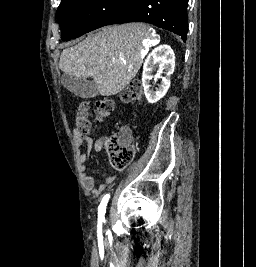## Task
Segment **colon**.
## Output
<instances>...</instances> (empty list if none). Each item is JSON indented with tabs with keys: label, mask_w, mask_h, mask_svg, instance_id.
I'll list each match as a JSON object with an SVG mask.
<instances>
[{
	"label": "colon",
	"mask_w": 256,
	"mask_h": 267,
	"mask_svg": "<svg viewBox=\"0 0 256 267\" xmlns=\"http://www.w3.org/2000/svg\"><path fill=\"white\" fill-rule=\"evenodd\" d=\"M143 98V90L140 82L136 79L130 81L126 89L121 92V100L126 104L139 103ZM115 108V102L107 99L99 102L92 111L89 103L78 106L75 114L76 130L79 134L87 136L91 133L90 117L93 113L98 119H108ZM121 140L108 138L105 141V147L109 151L110 163L114 168H124L135 157L136 148L126 139L129 137V131H120Z\"/></svg>",
	"instance_id": "obj_1"
}]
</instances>
